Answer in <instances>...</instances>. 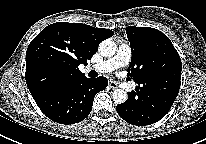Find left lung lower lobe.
<instances>
[{
  "label": "left lung lower lobe",
  "instance_id": "left-lung-lower-lobe-1",
  "mask_svg": "<svg viewBox=\"0 0 206 144\" xmlns=\"http://www.w3.org/2000/svg\"><path fill=\"white\" fill-rule=\"evenodd\" d=\"M177 89L168 87L155 91H147L141 85L136 91L128 92V99L124 104L116 106L119 116L126 122L145 126L162 119L170 110L176 96Z\"/></svg>",
  "mask_w": 206,
  "mask_h": 144
}]
</instances>
